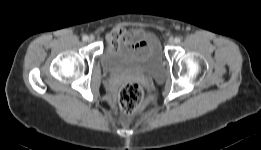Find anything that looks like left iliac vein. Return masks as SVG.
Here are the masks:
<instances>
[{
    "label": "left iliac vein",
    "instance_id": "4c4485c4",
    "mask_svg": "<svg viewBox=\"0 0 261 150\" xmlns=\"http://www.w3.org/2000/svg\"><path fill=\"white\" fill-rule=\"evenodd\" d=\"M168 43H169V44H174V43H175V39L171 37V38L168 40Z\"/></svg>",
    "mask_w": 261,
    "mask_h": 150
}]
</instances>
